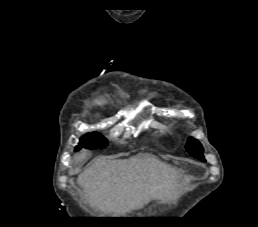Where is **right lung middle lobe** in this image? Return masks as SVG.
<instances>
[{
    "label": "right lung middle lobe",
    "mask_w": 258,
    "mask_h": 227,
    "mask_svg": "<svg viewBox=\"0 0 258 227\" xmlns=\"http://www.w3.org/2000/svg\"><path fill=\"white\" fill-rule=\"evenodd\" d=\"M107 140L99 133H87L86 135L82 136L79 142V146L77 149L81 147H86L88 149H97V148H104L107 145Z\"/></svg>",
    "instance_id": "1"
}]
</instances>
